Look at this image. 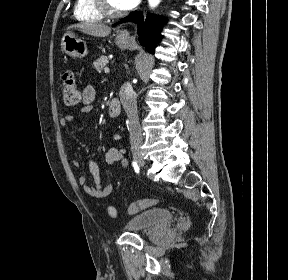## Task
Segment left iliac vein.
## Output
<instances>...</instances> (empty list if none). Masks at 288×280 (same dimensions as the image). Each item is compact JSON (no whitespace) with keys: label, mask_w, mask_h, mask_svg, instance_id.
<instances>
[{"label":"left iliac vein","mask_w":288,"mask_h":280,"mask_svg":"<svg viewBox=\"0 0 288 280\" xmlns=\"http://www.w3.org/2000/svg\"><path fill=\"white\" fill-rule=\"evenodd\" d=\"M138 162H139V165L142 167V166H144V160L143 159H138Z\"/></svg>","instance_id":"left-iliac-vein-1"}]
</instances>
